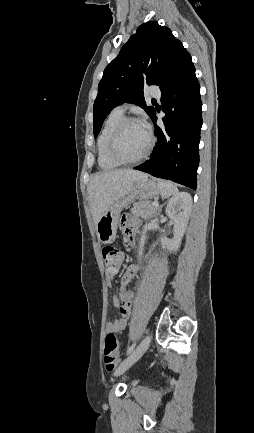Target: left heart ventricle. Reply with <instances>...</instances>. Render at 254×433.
Listing matches in <instances>:
<instances>
[{"label":"left heart ventricle","instance_id":"b2bd125f","mask_svg":"<svg viewBox=\"0 0 254 433\" xmlns=\"http://www.w3.org/2000/svg\"><path fill=\"white\" fill-rule=\"evenodd\" d=\"M147 143V132L139 122H132L127 124L121 131L117 141V150L122 157L133 159L143 152Z\"/></svg>","mask_w":254,"mask_h":433}]
</instances>
